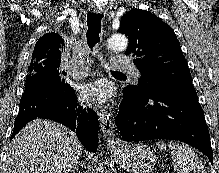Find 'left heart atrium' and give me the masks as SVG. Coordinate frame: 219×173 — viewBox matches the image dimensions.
I'll return each mask as SVG.
<instances>
[{
    "label": "left heart atrium",
    "mask_w": 219,
    "mask_h": 173,
    "mask_svg": "<svg viewBox=\"0 0 219 173\" xmlns=\"http://www.w3.org/2000/svg\"><path fill=\"white\" fill-rule=\"evenodd\" d=\"M80 98L87 103L104 105L111 98V90L104 81L88 83L80 88Z\"/></svg>",
    "instance_id": "1"
}]
</instances>
